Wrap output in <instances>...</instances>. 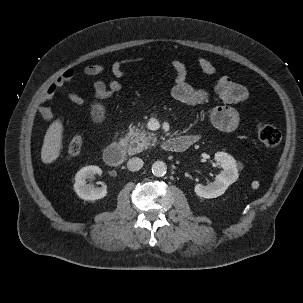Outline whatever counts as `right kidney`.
Returning a JSON list of instances; mask_svg holds the SVG:
<instances>
[{"label":"right kidney","mask_w":303,"mask_h":303,"mask_svg":"<svg viewBox=\"0 0 303 303\" xmlns=\"http://www.w3.org/2000/svg\"><path fill=\"white\" fill-rule=\"evenodd\" d=\"M102 170L98 166L90 165L80 169L75 175L74 190L77 195L87 201L102 199L107 195L106 186L94 187L86 184V179L95 174L101 175Z\"/></svg>","instance_id":"right-kidney-1"}]
</instances>
